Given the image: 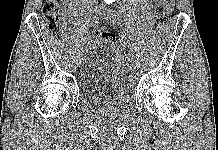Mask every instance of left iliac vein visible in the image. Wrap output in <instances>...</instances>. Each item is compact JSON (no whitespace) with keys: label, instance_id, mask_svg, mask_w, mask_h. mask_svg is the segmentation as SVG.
Instances as JSON below:
<instances>
[{"label":"left iliac vein","instance_id":"4c4485c4","mask_svg":"<svg viewBox=\"0 0 218 150\" xmlns=\"http://www.w3.org/2000/svg\"><path fill=\"white\" fill-rule=\"evenodd\" d=\"M100 15L107 22L120 25L121 16L117 12L109 11L107 13H103V14H100ZM127 67H128V74L131 76L133 74V68H131L132 66L130 64Z\"/></svg>","mask_w":218,"mask_h":150}]
</instances>
